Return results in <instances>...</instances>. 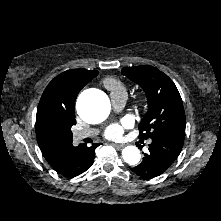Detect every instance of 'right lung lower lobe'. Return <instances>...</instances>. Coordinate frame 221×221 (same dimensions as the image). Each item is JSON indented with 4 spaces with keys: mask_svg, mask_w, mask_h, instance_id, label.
<instances>
[{
    "mask_svg": "<svg viewBox=\"0 0 221 221\" xmlns=\"http://www.w3.org/2000/svg\"><path fill=\"white\" fill-rule=\"evenodd\" d=\"M100 144H93L87 147L86 144L73 145L63 148L59 151L58 157L49 164L55 171L66 177L72 178L85 172L94 160L96 147Z\"/></svg>",
    "mask_w": 221,
    "mask_h": 221,
    "instance_id": "98d812e1",
    "label": "right lung lower lobe"
}]
</instances>
